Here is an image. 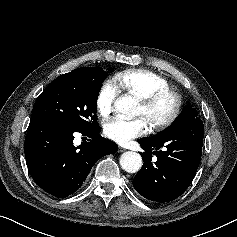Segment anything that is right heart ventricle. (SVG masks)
I'll return each instance as SVG.
<instances>
[{"label":"right heart ventricle","instance_id":"obj_1","mask_svg":"<svg viewBox=\"0 0 237 237\" xmlns=\"http://www.w3.org/2000/svg\"><path fill=\"white\" fill-rule=\"evenodd\" d=\"M114 82L119 89L139 99L170 88L169 82L163 76L144 69L119 72L115 75Z\"/></svg>","mask_w":237,"mask_h":237}]
</instances>
